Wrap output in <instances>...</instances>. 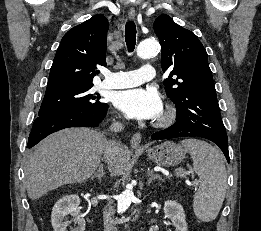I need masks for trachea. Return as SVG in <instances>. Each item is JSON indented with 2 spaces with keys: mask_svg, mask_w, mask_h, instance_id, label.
<instances>
[{
  "mask_svg": "<svg viewBox=\"0 0 261 231\" xmlns=\"http://www.w3.org/2000/svg\"><path fill=\"white\" fill-rule=\"evenodd\" d=\"M125 41L129 52H132L136 44V25L128 21L125 26Z\"/></svg>",
  "mask_w": 261,
  "mask_h": 231,
  "instance_id": "3493384b",
  "label": "trachea"
}]
</instances>
